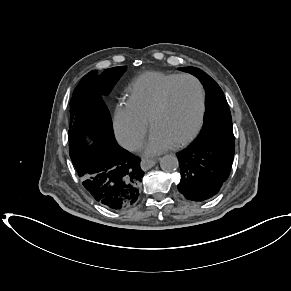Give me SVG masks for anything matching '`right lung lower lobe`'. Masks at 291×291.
Listing matches in <instances>:
<instances>
[{"mask_svg":"<svg viewBox=\"0 0 291 291\" xmlns=\"http://www.w3.org/2000/svg\"><path fill=\"white\" fill-rule=\"evenodd\" d=\"M70 157L83 186L98 203L120 210L138 200L144 175L140 159L121 148L115 138L94 141Z\"/></svg>","mask_w":291,"mask_h":291,"instance_id":"right-lung-lower-lobe-1","label":"right lung lower lobe"}]
</instances>
